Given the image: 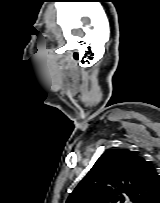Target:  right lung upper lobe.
I'll list each match as a JSON object with an SVG mask.
<instances>
[{
    "label": "right lung upper lobe",
    "instance_id": "1",
    "mask_svg": "<svg viewBox=\"0 0 160 203\" xmlns=\"http://www.w3.org/2000/svg\"><path fill=\"white\" fill-rule=\"evenodd\" d=\"M160 195V175L128 149H109L95 162L66 203H151Z\"/></svg>",
    "mask_w": 160,
    "mask_h": 203
}]
</instances>
